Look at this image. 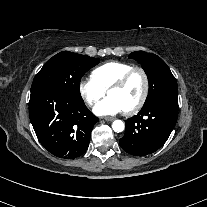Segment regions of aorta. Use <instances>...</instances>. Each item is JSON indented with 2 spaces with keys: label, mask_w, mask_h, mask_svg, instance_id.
I'll return each instance as SVG.
<instances>
[{
  "label": "aorta",
  "mask_w": 207,
  "mask_h": 207,
  "mask_svg": "<svg viewBox=\"0 0 207 207\" xmlns=\"http://www.w3.org/2000/svg\"><path fill=\"white\" fill-rule=\"evenodd\" d=\"M112 128H113V130H114L115 132L120 133V132H122V131L124 130V128H125V124H124V122L121 121V120H115V121H113V123H112Z\"/></svg>",
  "instance_id": "aorta-1"
}]
</instances>
